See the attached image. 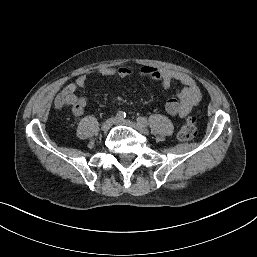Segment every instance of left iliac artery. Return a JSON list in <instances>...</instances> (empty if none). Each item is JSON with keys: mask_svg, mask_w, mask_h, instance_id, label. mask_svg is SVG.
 Returning a JSON list of instances; mask_svg holds the SVG:
<instances>
[{"mask_svg": "<svg viewBox=\"0 0 257 257\" xmlns=\"http://www.w3.org/2000/svg\"><path fill=\"white\" fill-rule=\"evenodd\" d=\"M137 122H138L140 125H142L143 127L148 126V121H147V119L144 118V117H138V118H137Z\"/></svg>", "mask_w": 257, "mask_h": 257, "instance_id": "obj_1", "label": "left iliac artery"}]
</instances>
